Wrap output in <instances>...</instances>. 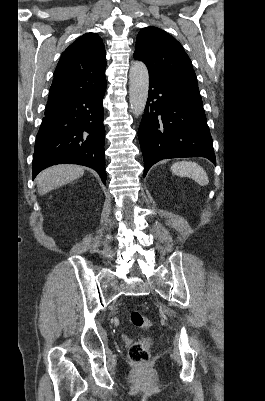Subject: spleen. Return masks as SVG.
Masks as SVG:
<instances>
[{
    "mask_svg": "<svg viewBox=\"0 0 265 401\" xmlns=\"http://www.w3.org/2000/svg\"><path fill=\"white\" fill-rule=\"evenodd\" d=\"M172 172L178 174V176H189L196 180L201 186H206L209 182L208 174L205 172L202 166H199L197 162H187V160H180V162H174L171 166Z\"/></svg>",
    "mask_w": 265,
    "mask_h": 401,
    "instance_id": "1",
    "label": "spleen"
}]
</instances>
